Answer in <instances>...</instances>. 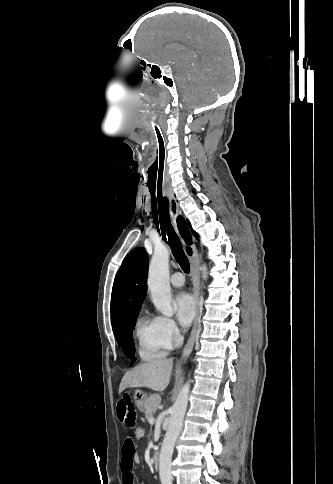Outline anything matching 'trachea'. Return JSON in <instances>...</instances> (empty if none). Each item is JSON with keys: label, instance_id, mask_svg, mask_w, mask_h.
<instances>
[{"label": "trachea", "instance_id": "obj_1", "mask_svg": "<svg viewBox=\"0 0 333 484\" xmlns=\"http://www.w3.org/2000/svg\"><path fill=\"white\" fill-rule=\"evenodd\" d=\"M154 154L152 164L151 185L153 196L151 198L152 217L157 231L162 234V239L170 246L175 260L185 273L189 272L190 264L186 257L181 242L171 224L168 208V199L165 192V166L167 151V133L163 129L155 127Z\"/></svg>", "mask_w": 333, "mask_h": 484}]
</instances>
